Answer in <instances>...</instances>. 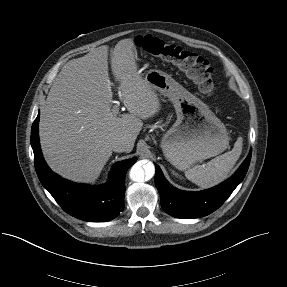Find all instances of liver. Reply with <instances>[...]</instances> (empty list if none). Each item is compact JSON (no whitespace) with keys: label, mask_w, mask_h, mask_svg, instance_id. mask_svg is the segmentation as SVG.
<instances>
[{"label":"liver","mask_w":287,"mask_h":287,"mask_svg":"<svg viewBox=\"0 0 287 287\" xmlns=\"http://www.w3.org/2000/svg\"><path fill=\"white\" fill-rule=\"evenodd\" d=\"M108 51V46H100L67 62L41 107L43 155L54 172L75 182L98 178L112 155L113 138H123L124 152H130L142 120L160 109L155 91L138 72L134 40L123 39L111 53V67L129 113L117 116L113 112Z\"/></svg>","instance_id":"obj_1"}]
</instances>
